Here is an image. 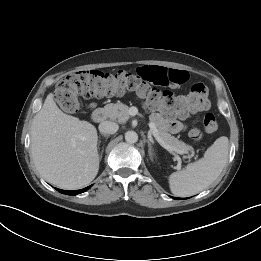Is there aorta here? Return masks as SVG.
Listing matches in <instances>:
<instances>
[{"label": "aorta", "mask_w": 261, "mask_h": 261, "mask_svg": "<svg viewBox=\"0 0 261 261\" xmlns=\"http://www.w3.org/2000/svg\"><path fill=\"white\" fill-rule=\"evenodd\" d=\"M125 140L128 143H136L138 141V134L135 131H127L125 133Z\"/></svg>", "instance_id": "obj_1"}]
</instances>
